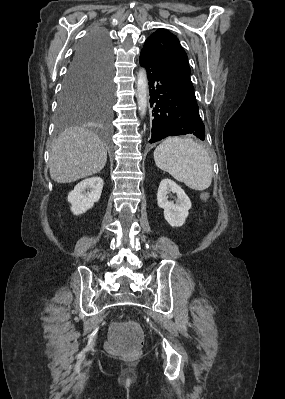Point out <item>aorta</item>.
I'll return each instance as SVG.
<instances>
[{"mask_svg": "<svg viewBox=\"0 0 285 399\" xmlns=\"http://www.w3.org/2000/svg\"><path fill=\"white\" fill-rule=\"evenodd\" d=\"M148 99V80L145 69H140L137 77V102L141 116L146 114Z\"/></svg>", "mask_w": 285, "mask_h": 399, "instance_id": "1", "label": "aorta"}]
</instances>
